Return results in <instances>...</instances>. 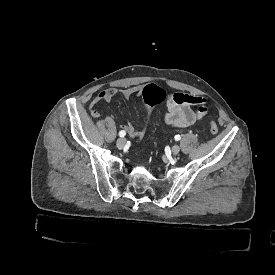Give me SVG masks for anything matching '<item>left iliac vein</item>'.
I'll list each match as a JSON object with an SVG mask.
<instances>
[{
    "label": "left iliac vein",
    "instance_id": "left-iliac-vein-1",
    "mask_svg": "<svg viewBox=\"0 0 275 275\" xmlns=\"http://www.w3.org/2000/svg\"><path fill=\"white\" fill-rule=\"evenodd\" d=\"M179 152H180V147H179V145H174V146L172 147V153H173L174 155H177Z\"/></svg>",
    "mask_w": 275,
    "mask_h": 275
}]
</instances>
